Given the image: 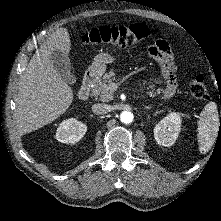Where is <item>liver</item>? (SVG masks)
<instances>
[{"mask_svg": "<svg viewBox=\"0 0 221 221\" xmlns=\"http://www.w3.org/2000/svg\"><path fill=\"white\" fill-rule=\"evenodd\" d=\"M54 50L69 54L71 40L66 28H59L48 37L21 76L16 98V127L21 135L53 122L73 101L72 88L53 65Z\"/></svg>", "mask_w": 221, "mask_h": 221, "instance_id": "6515ba94", "label": "liver"}]
</instances>
